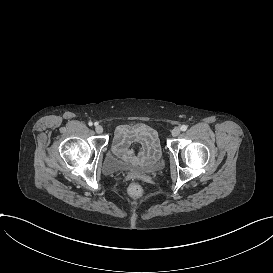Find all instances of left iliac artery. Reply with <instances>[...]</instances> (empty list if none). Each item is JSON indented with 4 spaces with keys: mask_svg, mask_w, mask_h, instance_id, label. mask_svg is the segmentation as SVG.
I'll return each instance as SVG.
<instances>
[{
    "mask_svg": "<svg viewBox=\"0 0 273 273\" xmlns=\"http://www.w3.org/2000/svg\"><path fill=\"white\" fill-rule=\"evenodd\" d=\"M182 131H186L187 130V126L186 125H182L180 128Z\"/></svg>",
    "mask_w": 273,
    "mask_h": 273,
    "instance_id": "left-iliac-artery-1",
    "label": "left iliac artery"
}]
</instances>
